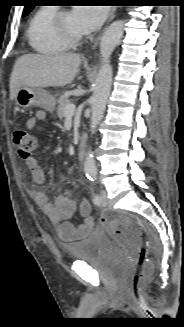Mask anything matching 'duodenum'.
<instances>
[{
  "mask_svg": "<svg viewBox=\"0 0 184 327\" xmlns=\"http://www.w3.org/2000/svg\"><path fill=\"white\" fill-rule=\"evenodd\" d=\"M87 144H88V140L86 137H82L80 139L79 145H78V158L79 160L82 162L85 159V155H86V149H87Z\"/></svg>",
  "mask_w": 184,
  "mask_h": 327,
  "instance_id": "duodenum-1",
  "label": "duodenum"
}]
</instances>
